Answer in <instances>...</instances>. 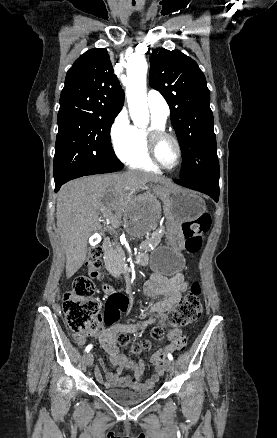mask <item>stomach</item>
Segmentation results:
<instances>
[{
    "label": "stomach",
    "instance_id": "stomach-1",
    "mask_svg": "<svg viewBox=\"0 0 277 438\" xmlns=\"http://www.w3.org/2000/svg\"><path fill=\"white\" fill-rule=\"evenodd\" d=\"M164 204L166 216V245L156 248L150 255V267L154 272L174 275L185 266L182 250L185 238L181 225L197 220L206 211L205 201L194 191L183 188L157 187Z\"/></svg>",
    "mask_w": 277,
    "mask_h": 438
}]
</instances>
